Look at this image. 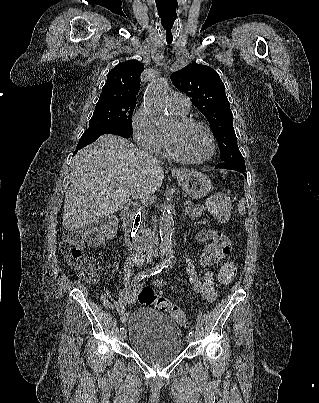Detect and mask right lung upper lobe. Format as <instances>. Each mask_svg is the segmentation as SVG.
I'll return each instance as SVG.
<instances>
[{
    "label": "right lung upper lobe",
    "instance_id": "1",
    "mask_svg": "<svg viewBox=\"0 0 319 403\" xmlns=\"http://www.w3.org/2000/svg\"><path fill=\"white\" fill-rule=\"evenodd\" d=\"M143 64L129 60L115 66L107 75L98 103H123L136 105L140 88V74Z\"/></svg>",
    "mask_w": 319,
    "mask_h": 403
}]
</instances>
